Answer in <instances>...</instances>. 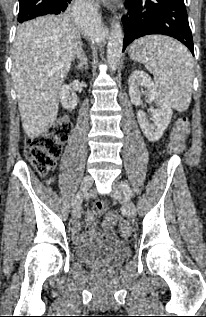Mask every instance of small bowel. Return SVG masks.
<instances>
[{
	"label": "small bowel",
	"mask_w": 206,
	"mask_h": 317,
	"mask_svg": "<svg viewBox=\"0 0 206 317\" xmlns=\"http://www.w3.org/2000/svg\"><path fill=\"white\" fill-rule=\"evenodd\" d=\"M85 220L88 223L87 229L85 232L81 231L82 224L80 221H77L73 227V236L77 241H87L96 237L97 233L95 232V220L91 213L85 214ZM104 231L107 235H113L114 231L111 226V223L105 222Z\"/></svg>",
	"instance_id": "c3829d8e"
}]
</instances>
